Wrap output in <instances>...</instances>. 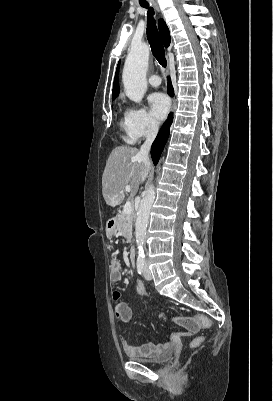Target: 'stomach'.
Masks as SVG:
<instances>
[{
	"label": "stomach",
	"instance_id": "obj_1",
	"mask_svg": "<svg viewBox=\"0 0 273 401\" xmlns=\"http://www.w3.org/2000/svg\"><path fill=\"white\" fill-rule=\"evenodd\" d=\"M106 231H107V237H112V235H114L115 233L114 227L113 229H109V227H107Z\"/></svg>",
	"mask_w": 273,
	"mask_h": 401
}]
</instances>
